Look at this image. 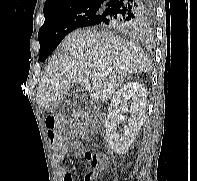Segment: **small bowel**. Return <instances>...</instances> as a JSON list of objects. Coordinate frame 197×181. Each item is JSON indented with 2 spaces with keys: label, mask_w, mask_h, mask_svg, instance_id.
<instances>
[{
  "label": "small bowel",
  "mask_w": 197,
  "mask_h": 181,
  "mask_svg": "<svg viewBox=\"0 0 197 181\" xmlns=\"http://www.w3.org/2000/svg\"><path fill=\"white\" fill-rule=\"evenodd\" d=\"M72 148L81 150V144L78 141L70 142L63 140V144L61 148L55 149L56 150L55 161L58 165V171L61 176V181H73L72 173L66 170L63 166H61L66 155L70 152Z\"/></svg>",
  "instance_id": "1"
}]
</instances>
